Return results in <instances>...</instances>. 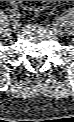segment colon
Instances as JSON below:
<instances>
[{
    "label": "colon",
    "instance_id": "colon-1",
    "mask_svg": "<svg viewBox=\"0 0 74 122\" xmlns=\"http://www.w3.org/2000/svg\"><path fill=\"white\" fill-rule=\"evenodd\" d=\"M51 1H20L21 5L28 9L45 8Z\"/></svg>",
    "mask_w": 74,
    "mask_h": 122
}]
</instances>
